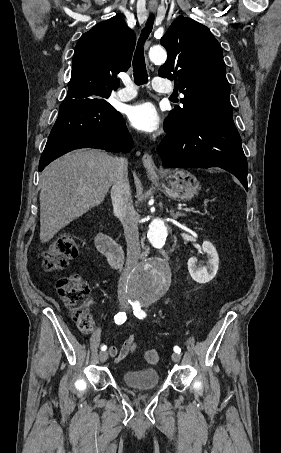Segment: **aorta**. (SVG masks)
I'll return each mask as SVG.
<instances>
[{
  "label": "aorta",
  "mask_w": 281,
  "mask_h": 453,
  "mask_svg": "<svg viewBox=\"0 0 281 453\" xmlns=\"http://www.w3.org/2000/svg\"><path fill=\"white\" fill-rule=\"evenodd\" d=\"M149 58L153 63L162 64L167 59V53L161 47H153L149 51ZM147 236L153 246H164L168 240L164 221L153 219L149 224ZM170 283L171 271L168 264L162 259L150 258L134 268L129 275L127 287L136 302L149 304L162 297Z\"/></svg>",
  "instance_id": "762f6f07"
}]
</instances>
